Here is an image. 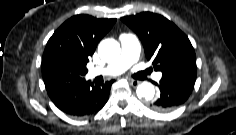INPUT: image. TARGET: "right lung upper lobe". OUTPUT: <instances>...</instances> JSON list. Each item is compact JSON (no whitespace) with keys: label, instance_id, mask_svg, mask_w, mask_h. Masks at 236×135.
I'll return each mask as SVG.
<instances>
[{"label":"right lung upper lobe","instance_id":"1","mask_svg":"<svg viewBox=\"0 0 236 135\" xmlns=\"http://www.w3.org/2000/svg\"><path fill=\"white\" fill-rule=\"evenodd\" d=\"M115 22L116 19H97L84 14L71 17L47 42L42 64L55 55H62L80 65H86L98 42Z\"/></svg>","mask_w":236,"mask_h":135}]
</instances>
